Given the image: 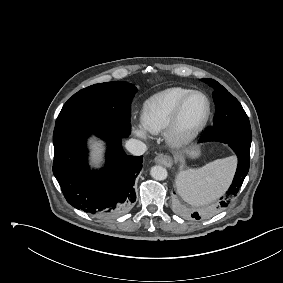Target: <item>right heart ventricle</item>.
I'll return each instance as SVG.
<instances>
[{
	"label": "right heart ventricle",
	"mask_w": 283,
	"mask_h": 283,
	"mask_svg": "<svg viewBox=\"0 0 283 283\" xmlns=\"http://www.w3.org/2000/svg\"><path fill=\"white\" fill-rule=\"evenodd\" d=\"M190 90L183 87H172L149 97L141 111L142 127L151 134L165 130L175 106Z\"/></svg>",
	"instance_id": "right-heart-ventricle-1"
}]
</instances>
